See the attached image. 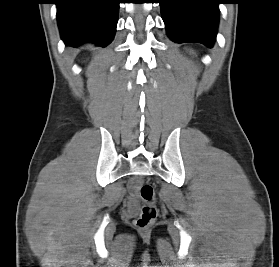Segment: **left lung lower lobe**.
I'll use <instances>...</instances> for the list:
<instances>
[{"label":"left lung lower lobe","mask_w":279,"mask_h":267,"mask_svg":"<svg viewBox=\"0 0 279 267\" xmlns=\"http://www.w3.org/2000/svg\"><path fill=\"white\" fill-rule=\"evenodd\" d=\"M168 36L176 43L198 42L211 48L221 0H160Z\"/></svg>","instance_id":"left-lung-lower-lobe-1"}]
</instances>
